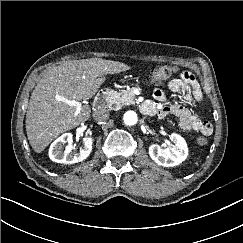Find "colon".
<instances>
[{
	"mask_svg": "<svg viewBox=\"0 0 243 243\" xmlns=\"http://www.w3.org/2000/svg\"><path fill=\"white\" fill-rule=\"evenodd\" d=\"M176 72V68L170 65H162L156 68H153L150 73V78L153 83H162L168 80L172 75ZM197 144L200 146H204L207 144V138L204 136H200L196 140Z\"/></svg>",
	"mask_w": 243,
	"mask_h": 243,
	"instance_id": "1",
	"label": "colon"
}]
</instances>
